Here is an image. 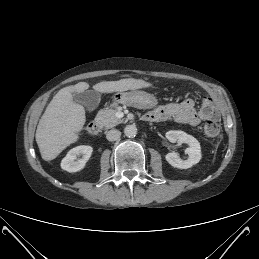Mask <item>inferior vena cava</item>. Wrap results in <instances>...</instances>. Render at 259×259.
<instances>
[{"instance_id":"obj_1","label":"inferior vena cava","mask_w":259,"mask_h":259,"mask_svg":"<svg viewBox=\"0 0 259 259\" xmlns=\"http://www.w3.org/2000/svg\"><path fill=\"white\" fill-rule=\"evenodd\" d=\"M121 132L117 129L109 130L106 134V138L108 141H116L120 138Z\"/></svg>"}]
</instances>
